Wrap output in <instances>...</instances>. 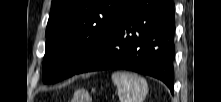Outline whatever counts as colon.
I'll list each match as a JSON object with an SVG mask.
<instances>
[{
  "label": "colon",
  "mask_w": 221,
  "mask_h": 102,
  "mask_svg": "<svg viewBox=\"0 0 221 102\" xmlns=\"http://www.w3.org/2000/svg\"><path fill=\"white\" fill-rule=\"evenodd\" d=\"M90 93L85 89H79L74 93L72 102H90Z\"/></svg>",
  "instance_id": "5ec220e1"
}]
</instances>
